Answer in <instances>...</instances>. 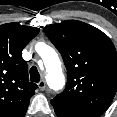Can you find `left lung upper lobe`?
Segmentation results:
<instances>
[{"label": "left lung upper lobe", "mask_w": 117, "mask_h": 117, "mask_svg": "<svg viewBox=\"0 0 117 117\" xmlns=\"http://www.w3.org/2000/svg\"><path fill=\"white\" fill-rule=\"evenodd\" d=\"M45 34L67 68L63 93L51 100L55 113L67 117H99L117 90V53L110 38L81 21L47 25Z\"/></svg>", "instance_id": "left-lung-upper-lobe-1"}]
</instances>
